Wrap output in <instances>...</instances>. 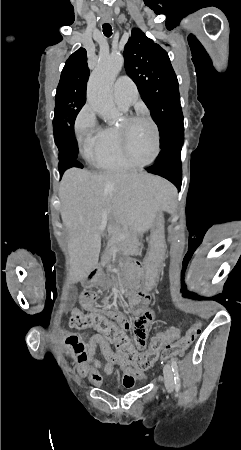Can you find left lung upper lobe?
Here are the masks:
<instances>
[{"instance_id": "1", "label": "left lung upper lobe", "mask_w": 241, "mask_h": 450, "mask_svg": "<svg viewBox=\"0 0 241 450\" xmlns=\"http://www.w3.org/2000/svg\"><path fill=\"white\" fill-rule=\"evenodd\" d=\"M125 69L150 109L161 137L160 147L184 133L178 80L167 52L133 29L124 48Z\"/></svg>"}]
</instances>
